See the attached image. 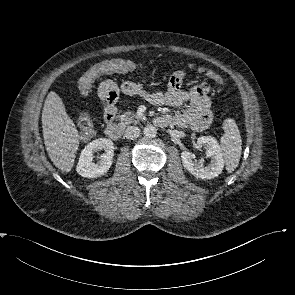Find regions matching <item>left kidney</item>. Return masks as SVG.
I'll return each instance as SVG.
<instances>
[{"label": "left kidney", "mask_w": 295, "mask_h": 295, "mask_svg": "<svg viewBox=\"0 0 295 295\" xmlns=\"http://www.w3.org/2000/svg\"><path fill=\"white\" fill-rule=\"evenodd\" d=\"M202 146L206 149V156L211 158L210 163L204 166L202 163L196 161L193 153L190 151H183L181 153L183 166L196 178H215L222 172L224 167V159L220 146L217 140L211 136H202L198 138L197 142L194 144V148L199 149Z\"/></svg>", "instance_id": "1"}]
</instances>
